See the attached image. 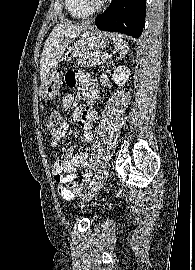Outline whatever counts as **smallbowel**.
I'll use <instances>...</instances> for the list:
<instances>
[{
	"label": "small bowel",
	"instance_id": "1",
	"mask_svg": "<svg viewBox=\"0 0 195 270\" xmlns=\"http://www.w3.org/2000/svg\"><path fill=\"white\" fill-rule=\"evenodd\" d=\"M66 83L70 87H75L78 84L82 85V92L87 100V104L75 108L73 115L76 118L82 132V140L84 143H89L93 139V123L96 119V112L93 108V103L96 100V93L93 90V79L89 74L81 71H69L66 74ZM75 101L72 94H68L63 98V108L66 111L71 110ZM69 124L62 122L60 125L49 130L51 136V147H57L62 139L68 134ZM88 153L83 147L78 151L72 146L69 148L63 160L56 159L52 175L55 181L59 184L58 191L66 200L73 199L72 191H69L64 183L71 182L76 178V172L80 167L88 165Z\"/></svg>",
	"mask_w": 195,
	"mask_h": 270
}]
</instances>
